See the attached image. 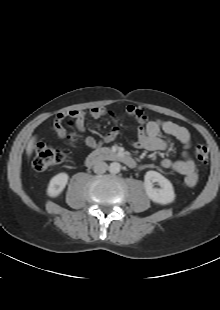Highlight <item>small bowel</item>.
Returning <instances> with one entry per match:
<instances>
[{
	"label": "small bowel",
	"instance_id": "1",
	"mask_svg": "<svg viewBox=\"0 0 220 310\" xmlns=\"http://www.w3.org/2000/svg\"><path fill=\"white\" fill-rule=\"evenodd\" d=\"M126 113L135 118L140 124L133 141V145L136 148L148 151H163L168 149L169 144L162 137L163 134L175 138L182 145L183 158L181 160L173 161L169 158H164L160 161V166L163 169L172 170L181 174L183 176V185L193 187L197 183L198 175L195 161L190 153L191 136L189 131L171 121L150 120L146 111L138 106H127ZM106 115H110L114 123L104 135L102 141L111 142L120 135L121 128L116 123L113 114L102 107H94L88 110L75 109L65 113H59L54 119L52 130L59 138H64L66 136V130L63 127L62 122L66 118H71L75 122L76 129L79 132L84 133L87 128L88 116L92 118H100ZM102 141H98L92 136L85 137V143L90 148L98 147Z\"/></svg>",
	"mask_w": 220,
	"mask_h": 310
}]
</instances>
